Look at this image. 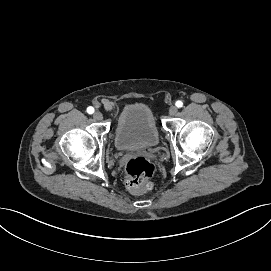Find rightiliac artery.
Returning a JSON list of instances; mask_svg holds the SVG:
<instances>
[{"label":"right iliac artery","mask_w":271,"mask_h":271,"mask_svg":"<svg viewBox=\"0 0 271 271\" xmlns=\"http://www.w3.org/2000/svg\"><path fill=\"white\" fill-rule=\"evenodd\" d=\"M87 112L89 113V114H92L93 112H94V108L93 107H88L87 108Z\"/></svg>","instance_id":"obj_1"}]
</instances>
